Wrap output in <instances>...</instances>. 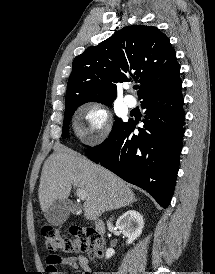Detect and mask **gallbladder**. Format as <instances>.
Masks as SVG:
<instances>
[{
  "label": "gallbladder",
  "mask_w": 215,
  "mask_h": 274,
  "mask_svg": "<svg viewBox=\"0 0 215 274\" xmlns=\"http://www.w3.org/2000/svg\"><path fill=\"white\" fill-rule=\"evenodd\" d=\"M80 209L69 199L56 200L45 212L44 217L54 226L62 225L70 213L78 214Z\"/></svg>",
  "instance_id": "1"
}]
</instances>
